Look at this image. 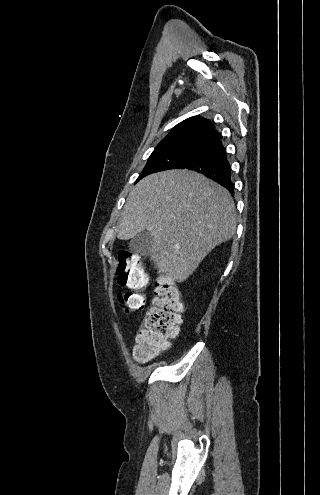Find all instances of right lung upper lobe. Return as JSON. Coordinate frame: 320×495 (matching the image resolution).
Instances as JSON below:
<instances>
[{
    "label": "right lung upper lobe",
    "instance_id": "right-lung-upper-lobe-1",
    "mask_svg": "<svg viewBox=\"0 0 320 495\" xmlns=\"http://www.w3.org/2000/svg\"><path fill=\"white\" fill-rule=\"evenodd\" d=\"M216 135L210 120L193 116L177 124L159 144L187 139L208 141Z\"/></svg>",
    "mask_w": 320,
    "mask_h": 495
}]
</instances>
